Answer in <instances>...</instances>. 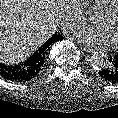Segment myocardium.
I'll return each mask as SVG.
<instances>
[{"label":"myocardium","instance_id":"obj_1","mask_svg":"<svg viewBox=\"0 0 118 118\" xmlns=\"http://www.w3.org/2000/svg\"><path fill=\"white\" fill-rule=\"evenodd\" d=\"M116 3H118V0H111L99 13H96V18L108 16L112 12ZM112 46L118 48V43H112Z\"/></svg>","mask_w":118,"mask_h":118}]
</instances>
